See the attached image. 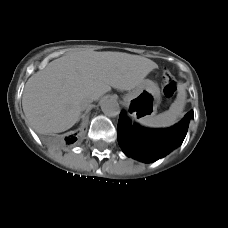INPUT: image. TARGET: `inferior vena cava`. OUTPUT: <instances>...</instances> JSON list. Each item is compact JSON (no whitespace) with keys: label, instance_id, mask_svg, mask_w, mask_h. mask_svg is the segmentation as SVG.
Listing matches in <instances>:
<instances>
[{"label":"inferior vena cava","instance_id":"inferior-vena-cava-1","mask_svg":"<svg viewBox=\"0 0 228 228\" xmlns=\"http://www.w3.org/2000/svg\"><path fill=\"white\" fill-rule=\"evenodd\" d=\"M93 102L92 98L89 96L83 97L79 103L80 105V109L81 110H85L89 104H91Z\"/></svg>","mask_w":228,"mask_h":228}]
</instances>
